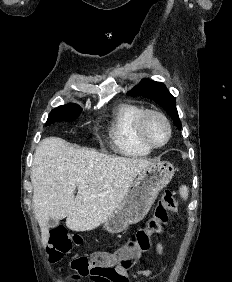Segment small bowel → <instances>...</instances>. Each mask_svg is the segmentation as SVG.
<instances>
[{"label":"small bowel","mask_w":232,"mask_h":282,"mask_svg":"<svg viewBox=\"0 0 232 282\" xmlns=\"http://www.w3.org/2000/svg\"><path fill=\"white\" fill-rule=\"evenodd\" d=\"M164 253V247L161 241L156 242V254L159 258L162 257ZM151 274V271L148 269H140L129 272L120 267H115L112 274L92 279L93 282H131L132 280H138L142 277H148Z\"/></svg>","instance_id":"c3829d8e"}]
</instances>
